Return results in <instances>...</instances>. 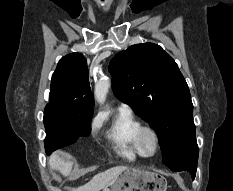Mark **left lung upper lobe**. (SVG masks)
<instances>
[{
	"label": "left lung upper lobe",
	"instance_id": "left-lung-upper-lobe-1",
	"mask_svg": "<svg viewBox=\"0 0 233 191\" xmlns=\"http://www.w3.org/2000/svg\"><path fill=\"white\" fill-rule=\"evenodd\" d=\"M109 72L115 96L157 132L163 163L198 161L189 88L171 56L157 44H136L115 55Z\"/></svg>",
	"mask_w": 233,
	"mask_h": 191
}]
</instances>
